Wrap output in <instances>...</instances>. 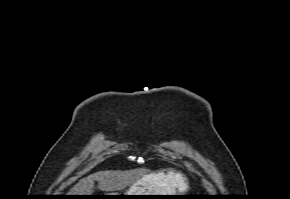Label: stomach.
<instances>
[{
  "label": "stomach",
  "instance_id": "0dacf381",
  "mask_svg": "<svg viewBox=\"0 0 290 199\" xmlns=\"http://www.w3.org/2000/svg\"><path fill=\"white\" fill-rule=\"evenodd\" d=\"M165 180L160 179L157 174L145 176L133 183L124 193H110L108 195H177L175 188L165 185ZM117 199H151L148 196H115ZM166 197V196H156ZM155 198V197H154Z\"/></svg>",
  "mask_w": 290,
  "mask_h": 199
}]
</instances>
